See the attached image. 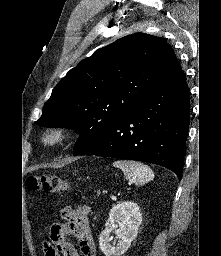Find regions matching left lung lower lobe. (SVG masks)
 I'll return each mask as SVG.
<instances>
[{
	"label": "left lung lower lobe",
	"mask_w": 221,
	"mask_h": 256,
	"mask_svg": "<svg viewBox=\"0 0 221 256\" xmlns=\"http://www.w3.org/2000/svg\"><path fill=\"white\" fill-rule=\"evenodd\" d=\"M189 89L183 70L156 87L97 138L74 152L138 160L172 170L179 179L189 129Z\"/></svg>",
	"instance_id": "1"
}]
</instances>
